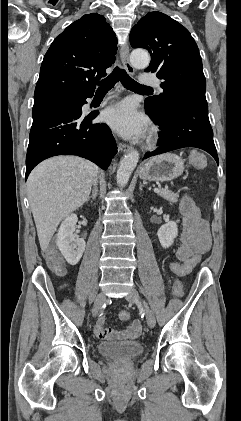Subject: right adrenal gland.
Segmentation results:
<instances>
[{"label":"right adrenal gland","instance_id":"right-adrenal-gland-1","mask_svg":"<svg viewBox=\"0 0 241 421\" xmlns=\"http://www.w3.org/2000/svg\"><path fill=\"white\" fill-rule=\"evenodd\" d=\"M97 195H98V188L97 187H94V189L92 191V195L88 197V199H87L86 202H88L90 199L95 200L96 197H97Z\"/></svg>","mask_w":241,"mask_h":421}]
</instances>
